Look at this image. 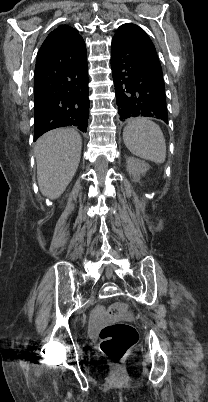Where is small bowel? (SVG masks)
<instances>
[{
	"label": "small bowel",
	"instance_id": "c3829d8e",
	"mask_svg": "<svg viewBox=\"0 0 208 402\" xmlns=\"http://www.w3.org/2000/svg\"><path fill=\"white\" fill-rule=\"evenodd\" d=\"M89 315H91L90 322L94 329H97L99 324H105L107 321V311L105 309H92Z\"/></svg>",
	"mask_w": 208,
	"mask_h": 402
}]
</instances>
